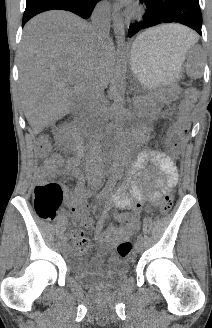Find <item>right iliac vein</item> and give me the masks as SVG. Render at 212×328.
<instances>
[{
  "mask_svg": "<svg viewBox=\"0 0 212 328\" xmlns=\"http://www.w3.org/2000/svg\"><path fill=\"white\" fill-rule=\"evenodd\" d=\"M63 252L65 255H68L70 253V246L66 243L63 245Z\"/></svg>",
  "mask_w": 212,
  "mask_h": 328,
  "instance_id": "63e3f726",
  "label": "right iliac vein"
}]
</instances>
